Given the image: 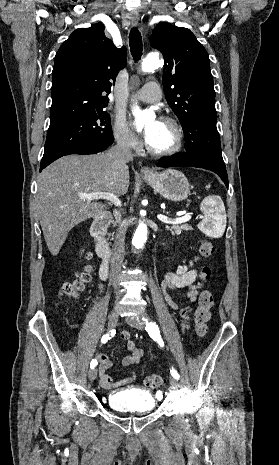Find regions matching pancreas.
<instances>
[{"mask_svg": "<svg viewBox=\"0 0 279 465\" xmlns=\"http://www.w3.org/2000/svg\"><path fill=\"white\" fill-rule=\"evenodd\" d=\"M166 230L170 231L172 235H179L183 230L189 231L192 230V227L188 224H173V225H166Z\"/></svg>", "mask_w": 279, "mask_h": 465, "instance_id": "cf45deb5", "label": "pancreas"}]
</instances>
